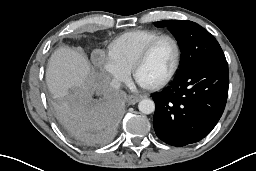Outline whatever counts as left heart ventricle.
I'll return each mask as SVG.
<instances>
[{
    "label": "left heart ventricle",
    "instance_id": "left-heart-ventricle-1",
    "mask_svg": "<svg viewBox=\"0 0 256 171\" xmlns=\"http://www.w3.org/2000/svg\"><path fill=\"white\" fill-rule=\"evenodd\" d=\"M175 58V48L168 39L156 44L146 62L139 68L136 80L151 85L163 80L170 72Z\"/></svg>",
    "mask_w": 256,
    "mask_h": 171
}]
</instances>
